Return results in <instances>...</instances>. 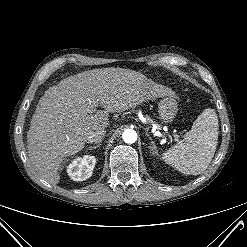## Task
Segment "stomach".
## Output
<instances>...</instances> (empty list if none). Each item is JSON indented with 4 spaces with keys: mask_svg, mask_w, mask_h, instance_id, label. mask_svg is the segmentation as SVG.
Segmentation results:
<instances>
[{
    "mask_svg": "<svg viewBox=\"0 0 247 247\" xmlns=\"http://www.w3.org/2000/svg\"><path fill=\"white\" fill-rule=\"evenodd\" d=\"M178 111V105L175 99L172 97L163 98L158 106V112L160 116V120L167 124L171 123Z\"/></svg>",
    "mask_w": 247,
    "mask_h": 247,
    "instance_id": "stomach-1",
    "label": "stomach"
}]
</instances>
